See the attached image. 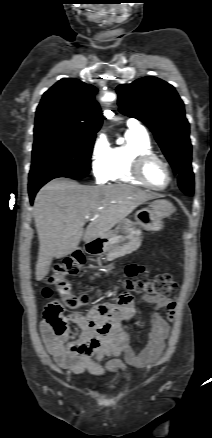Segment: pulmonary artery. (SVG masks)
Segmentation results:
<instances>
[{
    "instance_id": "1",
    "label": "pulmonary artery",
    "mask_w": 212,
    "mask_h": 438,
    "mask_svg": "<svg viewBox=\"0 0 212 438\" xmlns=\"http://www.w3.org/2000/svg\"><path fill=\"white\" fill-rule=\"evenodd\" d=\"M127 125L130 129L145 131L144 127L135 119H130Z\"/></svg>"
}]
</instances>
